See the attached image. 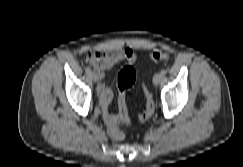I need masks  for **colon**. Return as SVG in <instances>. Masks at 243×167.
<instances>
[{"label": "colon", "mask_w": 243, "mask_h": 167, "mask_svg": "<svg viewBox=\"0 0 243 167\" xmlns=\"http://www.w3.org/2000/svg\"><path fill=\"white\" fill-rule=\"evenodd\" d=\"M150 58L153 62L165 61L169 58V54L166 51L158 50L151 53ZM136 80V72L132 66L123 67L117 77L118 90L120 94V113L118 121L111 123L108 126V132L114 140H121L123 138V133L120 129V125H127L129 123V117L127 114L125 92L134 85ZM145 95V109L139 115L141 121H147L151 118L155 111V103L152 93L148 88H144Z\"/></svg>", "instance_id": "obj_1"}]
</instances>
